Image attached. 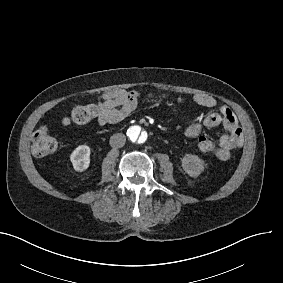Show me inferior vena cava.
Wrapping results in <instances>:
<instances>
[{
    "mask_svg": "<svg viewBox=\"0 0 283 283\" xmlns=\"http://www.w3.org/2000/svg\"><path fill=\"white\" fill-rule=\"evenodd\" d=\"M126 136L123 133H116L110 137V145L114 148H121L125 145Z\"/></svg>",
    "mask_w": 283,
    "mask_h": 283,
    "instance_id": "1",
    "label": "inferior vena cava"
}]
</instances>
